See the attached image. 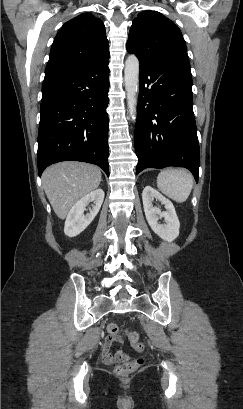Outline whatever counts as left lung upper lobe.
<instances>
[{
  "label": "left lung upper lobe",
  "mask_w": 243,
  "mask_h": 409,
  "mask_svg": "<svg viewBox=\"0 0 243 409\" xmlns=\"http://www.w3.org/2000/svg\"><path fill=\"white\" fill-rule=\"evenodd\" d=\"M140 66L167 60L189 61L186 44L178 26L157 11H143L133 20L127 42Z\"/></svg>",
  "instance_id": "obj_1"
}]
</instances>
